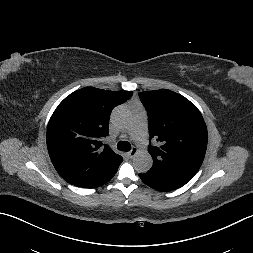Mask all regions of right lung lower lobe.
Returning a JSON list of instances; mask_svg holds the SVG:
<instances>
[{
	"label": "right lung lower lobe",
	"instance_id": "98d812e1",
	"mask_svg": "<svg viewBox=\"0 0 253 253\" xmlns=\"http://www.w3.org/2000/svg\"><path fill=\"white\" fill-rule=\"evenodd\" d=\"M117 172V170L108 178L107 182L115 175V173ZM106 183V182H105ZM104 183V184H105Z\"/></svg>",
	"mask_w": 253,
	"mask_h": 253
}]
</instances>
